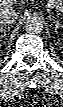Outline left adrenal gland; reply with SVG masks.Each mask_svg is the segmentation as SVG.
Instances as JSON below:
<instances>
[{
  "mask_svg": "<svg viewBox=\"0 0 63 107\" xmlns=\"http://www.w3.org/2000/svg\"><path fill=\"white\" fill-rule=\"evenodd\" d=\"M49 18L53 22V24H55V32H57L58 28L62 27L61 23L59 22V20L53 19L51 15L49 16Z\"/></svg>",
  "mask_w": 63,
  "mask_h": 107,
  "instance_id": "left-adrenal-gland-1",
  "label": "left adrenal gland"
}]
</instances>
